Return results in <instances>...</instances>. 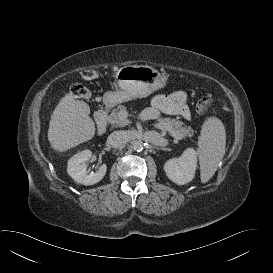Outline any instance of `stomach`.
I'll return each mask as SVG.
<instances>
[{
    "instance_id": "1",
    "label": "stomach",
    "mask_w": 273,
    "mask_h": 273,
    "mask_svg": "<svg viewBox=\"0 0 273 273\" xmlns=\"http://www.w3.org/2000/svg\"><path fill=\"white\" fill-rule=\"evenodd\" d=\"M115 80L119 90L104 94L103 101L107 107L146 97L165 87L167 78L151 66L131 65L120 68Z\"/></svg>"
}]
</instances>
